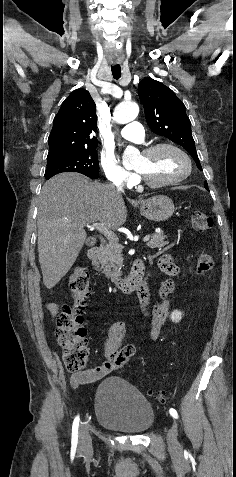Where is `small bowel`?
<instances>
[{"instance_id": "small-bowel-1", "label": "small bowel", "mask_w": 236, "mask_h": 477, "mask_svg": "<svg viewBox=\"0 0 236 477\" xmlns=\"http://www.w3.org/2000/svg\"><path fill=\"white\" fill-rule=\"evenodd\" d=\"M161 272L167 275H175L177 272L176 266L173 264L170 255H163L159 259ZM174 290V283L166 281L161 287V294L164 299L157 305H152L150 302L149 291L147 287H143L139 291L140 300L146 310V316L150 318L151 323V338L157 339L159 336L164 320L168 311L169 303L166 297ZM49 312L53 318H56L60 312L58 303H50L48 306ZM125 330V325L122 322H115L111 324L106 331L103 341V353L105 361L94 368L86 371L74 373L72 375V383L79 386L86 383H93L107 376L113 369V362L121 352H126L129 357L135 353V348L132 345L122 346V336Z\"/></svg>"}]
</instances>
